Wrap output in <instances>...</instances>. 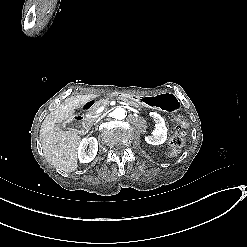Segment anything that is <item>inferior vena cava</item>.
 Here are the masks:
<instances>
[{
	"instance_id": "1",
	"label": "inferior vena cava",
	"mask_w": 247,
	"mask_h": 247,
	"mask_svg": "<svg viewBox=\"0 0 247 247\" xmlns=\"http://www.w3.org/2000/svg\"><path fill=\"white\" fill-rule=\"evenodd\" d=\"M102 118L103 116L99 117L96 122H99L100 120H102Z\"/></svg>"
}]
</instances>
